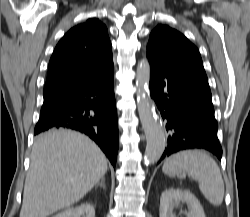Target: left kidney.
I'll return each instance as SVG.
<instances>
[{
  "instance_id": "1",
  "label": "left kidney",
  "mask_w": 250,
  "mask_h": 217,
  "mask_svg": "<svg viewBox=\"0 0 250 217\" xmlns=\"http://www.w3.org/2000/svg\"><path fill=\"white\" fill-rule=\"evenodd\" d=\"M181 202L187 204L189 211L187 217H205L204 210L198 199L188 190L178 188L166 189L160 197V217H176L173 208Z\"/></svg>"
}]
</instances>
